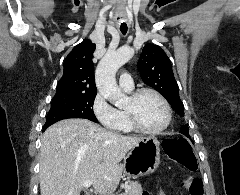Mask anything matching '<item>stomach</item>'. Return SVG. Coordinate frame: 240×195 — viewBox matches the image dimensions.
Masks as SVG:
<instances>
[{
  "label": "stomach",
  "mask_w": 240,
  "mask_h": 195,
  "mask_svg": "<svg viewBox=\"0 0 240 195\" xmlns=\"http://www.w3.org/2000/svg\"><path fill=\"white\" fill-rule=\"evenodd\" d=\"M160 141L155 135L141 139L124 157V173L130 177H140L153 173L160 163Z\"/></svg>",
  "instance_id": "0dacf381"
}]
</instances>
